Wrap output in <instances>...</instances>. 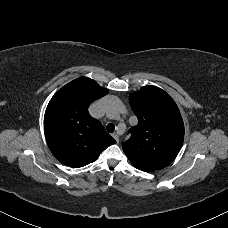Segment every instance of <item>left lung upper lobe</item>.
<instances>
[{"instance_id": "obj_1", "label": "left lung upper lobe", "mask_w": 228, "mask_h": 228, "mask_svg": "<svg viewBox=\"0 0 228 228\" xmlns=\"http://www.w3.org/2000/svg\"><path fill=\"white\" fill-rule=\"evenodd\" d=\"M138 124L129 132L123 150L138 169L150 172L168 166L179 153L184 140L180 111L164 90L144 86L129 96Z\"/></svg>"}]
</instances>
